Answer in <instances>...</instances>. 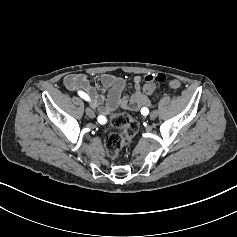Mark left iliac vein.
<instances>
[{"label":"left iliac vein","instance_id":"1","mask_svg":"<svg viewBox=\"0 0 237 237\" xmlns=\"http://www.w3.org/2000/svg\"><path fill=\"white\" fill-rule=\"evenodd\" d=\"M157 115H158V112H157L156 110H153V111L150 113V118H151V119H154V118L157 117Z\"/></svg>","mask_w":237,"mask_h":237}]
</instances>
